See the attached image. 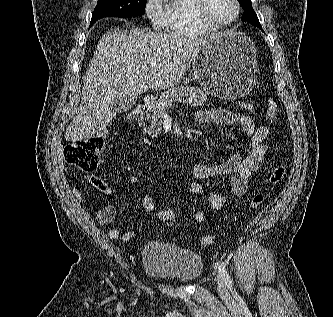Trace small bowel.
<instances>
[{
	"label": "small bowel",
	"instance_id": "1",
	"mask_svg": "<svg viewBox=\"0 0 333 317\" xmlns=\"http://www.w3.org/2000/svg\"><path fill=\"white\" fill-rule=\"evenodd\" d=\"M200 123H216L226 126H237L249 139V146L245 152L237 151L221 156L213 165L195 164L192 168V181L190 192L202 195L210 207L216 211L221 210L228 203L227 196L222 192L208 191L204 181L216 177L227 178L225 189L237 197L245 196L249 191V179L259 170L267 156L265 139L268 134L266 126H257L254 121L245 115L237 114L225 109L200 110L195 115ZM91 185L101 192H108L106 183L95 174L89 176ZM69 193L76 203L83 198L82 193L75 187ZM142 211L149 215L154 213L156 207L150 195H144L141 199ZM116 215L113 206H105L99 209L95 218L100 225L110 224ZM206 219L205 212L196 210L194 220L202 223ZM142 229L122 233L118 228L109 230L108 236L113 240L130 241L140 235Z\"/></svg>",
	"mask_w": 333,
	"mask_h": 317
}]
</instances>
